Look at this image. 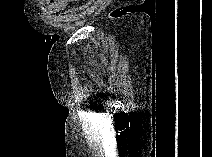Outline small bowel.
<instances>
[{
  "instance_id": "small-bowel-1",
  "label": "small bowel",
  "mask_w": 212,
  "mask_h": 157,
  "mask_svg": "<svg viewBox=\"0 0 212 157\" xmlns=\"http://www.w3.org/2000/svg\"><path fill=\"white\" fill-rule=\"evenodd\" d=\"M64 4H65V1L63 0H53L48 3H45L44 9L50 12H54V11L60 10L64 6Z\"/></svg>"
}]
</instances>
